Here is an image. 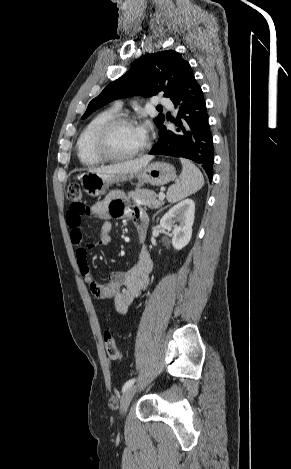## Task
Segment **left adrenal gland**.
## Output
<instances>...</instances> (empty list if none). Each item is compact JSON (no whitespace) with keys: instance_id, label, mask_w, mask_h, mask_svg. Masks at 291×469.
Wrapping results in <instances>:
<instances>
[{"instance_id":"a2214340","label":"left adrenal gland","mask_w":291,"mask_h":469,"mask_svg":"<svg viewBox=\"0 0 291 469\" xmlns=\"http://www.w3.org/2000/svg\"><path fill=\"white\" fill-rule=\"evenodd\" d=\"M161 210H163V208H162ZM161 210H159L157 213H159ZM157 213H156V214H157Z\"/></svg>"}]
</instances>
